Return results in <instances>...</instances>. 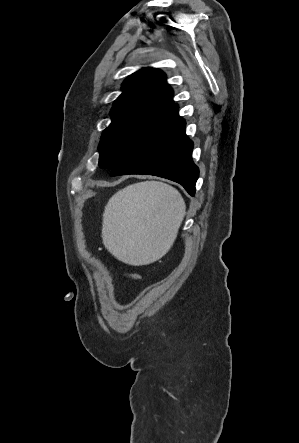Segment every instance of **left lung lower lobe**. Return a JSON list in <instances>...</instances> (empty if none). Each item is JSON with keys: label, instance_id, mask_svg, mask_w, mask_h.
<instances>
[{"label": "left lung lower lobe", "instance_id": "obj_1", "mask_svg": "<svg viewBox=\"0 0 299 443\" xmlns=\"http://www.w3.org/2000/svg\"><path fill=\"white\" fill-rule=\"evenodd\" d=\"M185 125L174 104L112 166L110 176L156 175L178 182L194 196L199 170L191 158L193 142Z\"/></svg>", "mask_w": 299, "mask_h": 443}]
</instances>
